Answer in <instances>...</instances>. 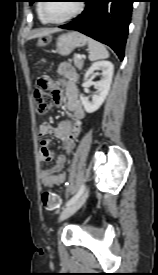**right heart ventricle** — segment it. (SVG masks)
Returning a JSON list of instances; mask_svg holds the SVG:
<instances>
[{"mask_svg": "<svg viewBox=\"0 0 158 275\" xmlns=\"http://www.w3.org/2000/svg\"><path fill=\"white\" fill-rule=\"evenodd\" d=\"M37 13H38L40 22L43 24H47L46 20L43 18L42 14H41V4L40 3L37 5Z\"/></svg>", "mask_w": 158, "mask_h": 275, "instance_id": "right-heart-ventricle-1", "label": "right heart ventricle"}]
</instances>
